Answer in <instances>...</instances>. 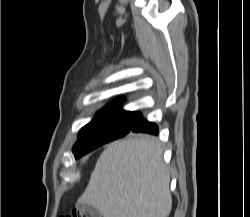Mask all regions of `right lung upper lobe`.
Returning a JSON list of instances; mask_svg holds the SVG:
<instances>
[{
    "label": "right lung upper lobe",
    "instance_id": "obj_1",
    "mask_svg": "<svg viewBox=\"0 0 250 217\" xmlns=\"http://www.w3.org/2000/svg\"><path fill=\"white\" fill-rule=\"evenodd\" d=\"M119 106L114 104V105H109L108 107H106L105 109L102 110V112L104 111H110V110H118Z\"/></svg>",
    "mask_w": 250,
    "mask_h": 217
}]
</instances>
